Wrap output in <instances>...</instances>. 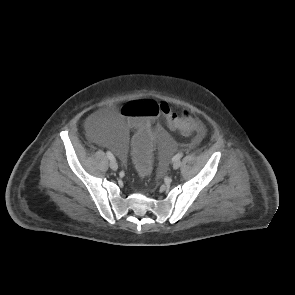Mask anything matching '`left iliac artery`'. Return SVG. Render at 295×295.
I'll return each mask as SVG.
<instances>
[{"label": "left iliac artery", "instance_id": "left-iliac-artery-1", "mask_svg": "<svg viewBox=\"0 0 295 295\" xmlns=\"http://www.w3.org/2000/svg\"><path fill=\"white\" fill-rule=\"evenodd\" d=\"M182 156H183V153H178V154H176V155L172 158V160H173V161H177V160H179L180 158H182Z\"/></svg>", "mask_w": 295, "mask_h": 295}]
</instances>
